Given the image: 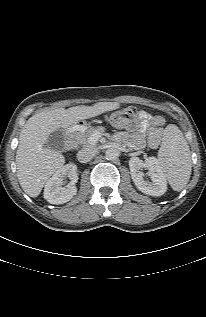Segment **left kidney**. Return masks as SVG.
<instances>
[{"mask_svg":"<svg viewBox=\"0 0 206 317\" xmlns=\"http://www.w3.org/2000/svg\"><path fill=\"white\" fill-rule=\"evenodd\" d=\"M131 178L135 186L143 193L151 196H161L167 190V181L158 160L149 157L145 162L138 157L129 160ZM142 168L149 170L151 182L144 179Z\"/></svg>","mask_w":206,"mask_h":317,"instance_id":"obj_1","label":"left kidney"}]
</instances>
